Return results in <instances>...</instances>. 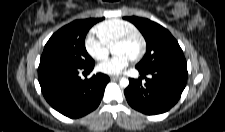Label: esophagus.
<instances>
[{"mask_svg":"<svg viewBox=\"0 0 225 132\" xmlns=\"http://www.w3.org/2000/svg\"><path fill=\"white\" fill-rule=\"evenodd\" d=\"M119 78H120L119 76H111V77H110V79H111L112 81L118 80Z\"/></svg>","mask_w":225,"mask_h":132,"instance_id":"1","label":"esophagus"}]
</instances>
